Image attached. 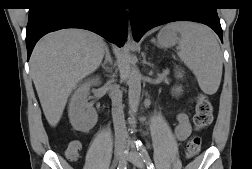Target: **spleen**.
Masks as SVG:
<instances>
[{"label": "spleen", "mask_w": 252, "mask_h": 169, "mask_svg": "<svg viewBox=\"0 0 252 169\" xmlns=\"http://www.w3.org/2000/svg\"><path fill=\"white\" fill-rule=\"evenodd\" d=\"M180 33L178 56L196 76L201 90L215 94L222 77V53L214 33L191 22L172 24Z\"/></svg>", "instance_id": "3e777b00"}]
</instances>
